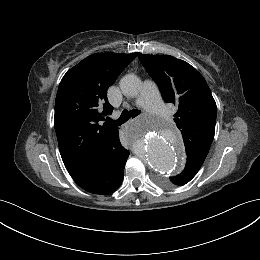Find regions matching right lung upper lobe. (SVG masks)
I'll use <instances>...</instances> for the list:
<instances>
[{"label": "right lung upper lobe", "instance_id": "obj_1", "mask_svg": "<svg viewBox=\"0 0 260 260\" xmlns=\"http://www.w3.org/2000/svg\"><path fill=\"white\" fill-rule=\"evenodd\" d=\"M136 56L137 53L93 54L62 78L55 101L54 127L70 175L121 145L118 127L102 124L113 111L107 89Z\"/></svg>", "mask_w": 260, "mask_h": 260}]
</instances>
